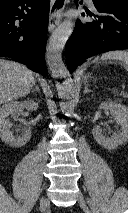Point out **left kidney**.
<instances>
[{
  "label": "left kidney",
  "instance_id": "5707ae66",
  "mask_svg": "<svg viewBox=\"0 0 128 213\" xmlns=\"http://www.w3.org/2000/svg\"><path fill=\"white\" fill-rule=\"evenodd\" d=\"M99 107L110 111L113 120L121 126V131L108 138L102 135L100 126H95L92 129L94 139L105 149L114 150L128 141V108L114 102H104Z\"/></svg>",
  "mask_w": 128,
  "mask_h": 213
}]
</instances>
